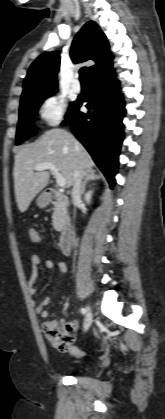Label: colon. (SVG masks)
<instances>
[{
  "label": "colon",
  "mask_w": 165,
  "mask_h": 419,
  "mask_svg": "<svg viewBox=\"0 0 165 419\" xmlns=\"http://www.w3.org/2000/svg\"><path fill=\"white\" fill-rule=\"evenodd\" d=\"M28 235L32 242H39L40 235L35 228L28 229ZM41 330L44 336L56 345H64L72 338V330L69 325H64L55 320H48L42 323Z\"/></svg>",
  "instance_id": "colon-1"
}]
</instances>
